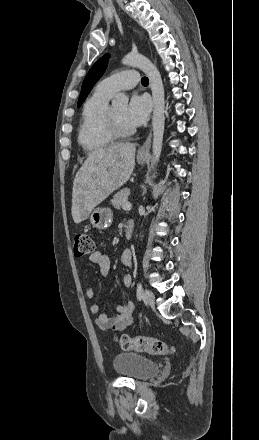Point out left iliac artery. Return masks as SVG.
Here are the masks:
<instances>
[{"instance_id":"1","label":"left iliac artery","mask_w":259,"mask_h":440,"mask_svg":"<svg viewBox=\"0 0 259 440\" xmlns=\"http://www.w3.org/2000/svg\"><path fill=\"white\" fill-rule=\"evenodd\" d=\"M143 295H144V293H143L142 284L138 283V285H137V298H138V300H141L143 298Z\"/></svg>"}]
</instances>
